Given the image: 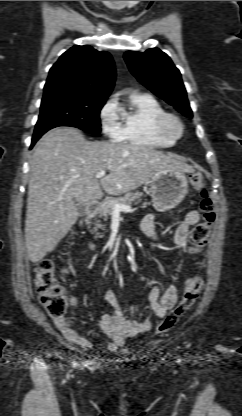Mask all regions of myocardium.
<instances>
[{
    "mask_svg": "<svg viewBox=\"0 0 242 416\" xmlns=\"http://www.w3.org/2000/svg\"><path fill=\"white\" fill-rule=\"evenodd\" d=\"M156 130L159 134L178 140L183 134V123L174 114L166 113L156 121Z\"/></svg>",
    "mask_w": 242,
    "mask_h": 416,
    "instance_id": "f54148a6",
    "label": "myocardium"
}]
</instances>
